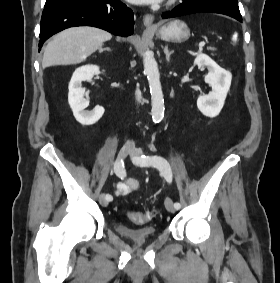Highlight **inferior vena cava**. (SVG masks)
I'll use <instances>...</instances> for the list:
<instances>
[{"label": "inferior vena cava", "instance_id": "602c4592", "mask_svg": "<svg viewBox=\"0 0 280 283\" xmlns=\"http://www.w3.org/2000/svg\"><path fill=\"white\" fill-rule=\"evenodd\" d=\"M135 96H136V101H137L138 103H140L141 100H142V95H141V91H140L139 89L136 90ZM133 144H134V143L131 142V141H128V142H127V145H133Z\"/></svg>", "mask_w": 280, "mask_h": 283}]
</instances>
